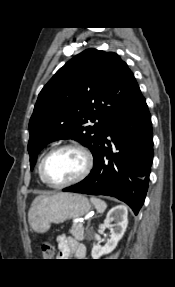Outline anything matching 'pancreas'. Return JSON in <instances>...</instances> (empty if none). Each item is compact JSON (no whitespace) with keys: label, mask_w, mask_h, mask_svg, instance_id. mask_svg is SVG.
<instances>
[{"label":"pancreas","mask_w":175,"mask_h":287,"mask_svg":"<svg viewBox=\"0 0 175 287\" xmlns=\"http://www.w3.org/2000/svg\"><path fill=\"white\" fill-rule=\"evenodd\" d=\"M69 233L78 241L84 239V227L82 224L73 223Z\"/></svg>","instance_id":"pancreas-1"}]
</instances>
